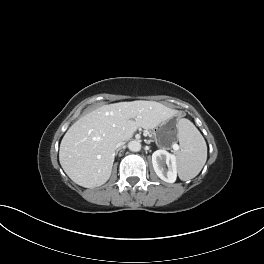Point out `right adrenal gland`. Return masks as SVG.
Listing matches in <instances>:
<instances>
[{
  "label": "right adrenal gland",
  "instance_id": "1",
  "mask_svg": "<svg viewBox=\"0 0 264 264\" xmlns=\"http://www.w3.org/2000/svg\"><path fill=\"white\" fill-rule=\"evenodd\" d=\"M118 151H119V149L116 150V152H115V156L118 154Z\"/></svg>",
  "mask_w": 264,
  "mask_h": 264
}]
</instances>
